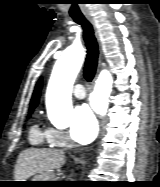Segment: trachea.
I'll list each match as a JSON object with an SVG mask.
<instances>
[{"instance_id": "trachea-1", "label": "trachea", "mask_w": 160, "mask_h": 187, "mask_svg": "<svg viewBox=\"0 0 160 187\" xmlns=\"http://www.w3.org/2000/svg\"><path fill=\"white\" fill-rule=\"evenodd\" d=\"M73 20L83 28V38L87 48V55L83 69L84 78L91 82L95 76L99 49L92 24L85 17H73Z\"/></svg>"}]
</instances>
